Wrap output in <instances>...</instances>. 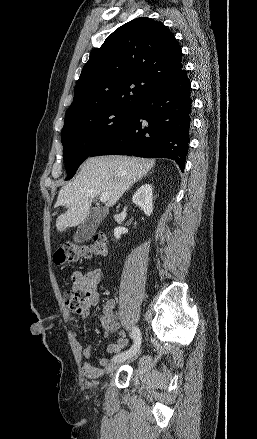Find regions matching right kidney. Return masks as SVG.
<instances>
[{
  "instance_id": "right-kidney-1",
  "label": "right kidney",
  "mask_w": 257,
  "mask_h": 439,
  "mask_svg": "<svg viewBox=\"0 0 257 439\" xmlns=\"http://www.w3.org/2000/svg\"><path fill=\"white\" fill-rule=\"evenodd\" d=\"M152 196V186L150 184H144L135 192L132 201L139 206L147 216H150L153 212ZM127 232L128 230L124 227H116L114 229V236L116 239H119L121 234Z\"/></svg>"
}]
</instances>
